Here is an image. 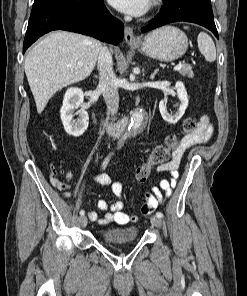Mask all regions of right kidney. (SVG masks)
<instances>
[{
    "mask_svg": "<svg viewBox=\"0 0 247 296\" xmlns=\"http://www.w3.org/2000/svg\"><path fill=\"white\" fill-rule=\"evenodd\" d=\"M84 100L83 91L77 87L67 89L63 105L60 109V117L65 131L74 137L81 136L88 128L89 116L84 109L77 111L79 115L77 120L73 119L75 110L82 106Z\"/></svg>",
    "mask_w": 247,
    "mask_h": 296,
    "instance_id": "ca27d5eb",
    "label": "right kidney"
}]
</instances>
